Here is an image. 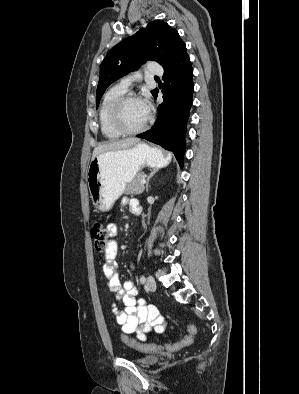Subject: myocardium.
<instances>
[{
	"label": "myocardium",
	"instance_id": "myocardium-1",
	"mask_svg": "<svg viewBox=\"0 0 299 394\" xmlns=\"http://www.w3.org/2000/svg\"><path fill=\"white\" fill-rule=\"evenodd\" d=\"M129 100H139V97L132 93H125L115 101L111 109V123L113 127L121 134L125 135H133L142 132L148 127L151 120L150 115H148L147 119L141 126L137 128L126 127L122 120V109L124 104Z\"/></svg>",
	"mask_w": 299,
	"mask_h": 394
}]
</instances>
